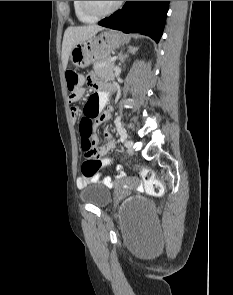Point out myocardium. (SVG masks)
I'll use <instances>...</instances> for the list:
<instances>
[{"mask_svg":"<svg viewBox=\"0 0 233 295\" xmlns=\"http://www.w3.org/2000/svg\"><path fill=\"white\" fill-rule=\"evenodd\" d=\"M123 1H117L110 9L106 11H97L95 10L90 1H80V6L81 9L83 10L84 13L87 15L93 17V18H101V17H106L108 15H111L112 13L116 12L119 7L121 6Z\"/></svg>","mask_w":233,"mask_h":295,"instance_id":"1","label":"myocardium"}]
</instances>
